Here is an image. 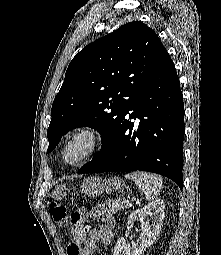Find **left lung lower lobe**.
<instances>
[{
    "instance_id": "left-lung-lower-lobe-1",
    "label": "left lung lower lobe",
    "mask_w": 221,
    "mask_h": 255,
    "mask_svg": "<svg viewBox=\"0 0 221 255\" xmlns=\"http://www.w3.org/2000/svg\"><path fill=\"white\" fill-rule=\"evenodd\" d=\"M138 118V122H131ZM184 104L169 54L140 90L93 159L78 171H149L173 180L182 190Z\"/></svg>"
}]
</instances>
